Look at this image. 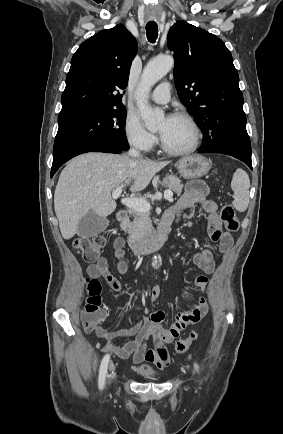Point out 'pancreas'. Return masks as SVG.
Instances as JSON below:
<instances>
[{
    "mask_svg": "<svg viewBox=\"0 0 283 434\" xmlns=\"http://www.w3.org/2000/svg\"><path fill=\"white\" fill-rule=\"evenodd\" d=\"M164 187L172 190L177 196L182 193L183 185L176 176H170L161 183ZM130 214L134 217L133 221L121 222V229L130 235V238L138 243H142L152 232V221L149 212H139L130 209Z\"/></svg>",
    "mask_w": 283,
    "mask_h": 434,
    "instance_id": "obj_1",
    "label": "pancreas"
}]
</instances>
